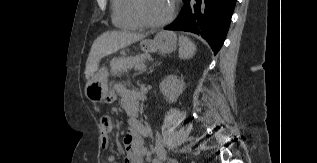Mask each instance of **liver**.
<instances>
[{"instance_id":"1","label":"liver","mask_w":317,"mask_h":163,"mask_svg":"<svg viewBox=\"0 0 317 163\" xmlns=\"http://www.w3.org/2000/svg\"><path fill=\"white\" fill-rule=\"evenodd\" d=\"M145 37L127 31H108L97 37L93 42L88 59L86 61L85 78L90 80L98 70L101 59L125 48Z\"/></svg>"}]
</instances>
